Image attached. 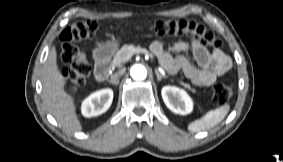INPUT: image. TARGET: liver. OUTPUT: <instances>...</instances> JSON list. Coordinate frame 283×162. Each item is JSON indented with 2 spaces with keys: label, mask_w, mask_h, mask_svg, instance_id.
I'll return each mask as SVG.
<instances>
[{
  "label": "liver",
  "mask_w": 283,
  "mask_h": 162,
  "mask_svg": "<svg viewBox=\"0 0 283 162\" xmlns=\"http://www.w3.org/2000/svg\"><path fill=\"white\" fill-rule=\"evenodd\" d=\"M43 101L48 112L60 126L70 132L82 130L74 98L65 91L66 80L57 65V53L52 47L42 72Z\"/></svg>",
  "instance_id": "1"
}]
</instances>
